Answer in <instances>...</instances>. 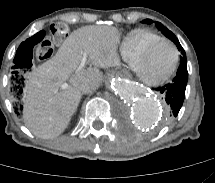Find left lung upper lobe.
Segmentation results:
<instances>
[{
    "instance_id": "obj_1",
    "label": "left lung upper lobe",
    "mask_w": 215,
    "mask_h": 183,
    "mask_svg": "<svg viewBox=\"0 0 215 183\" xmlns=\"http://www.w3.org/2000/svg\"><path fill=\"white\" fill-rule=\"evenodd\" d=\"M142 22H143V23H147V24L153 23V21L150 20V19L143 20ZM155 24H156V27H157L167 38H169L171 41H173V42L176 44L178 50H179V51L181 52V54H182L181 60H182V59H185L186 56H185L184 49L182 48L181 44L179 43L177 37H176L170 30L166 29V28L164 27V25H162L161 23L155 22Z\"/></svg>"
}]
</instances>
